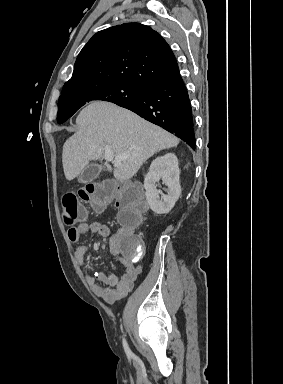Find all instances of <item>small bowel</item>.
I'll list each match as a JSON object with an SVG mask.
<instances>
[{"label": "small bowel", "mask_w": 283, "mask_h": 384, "mask_svg": "<svg viewBox=\"0 0 283 384\" xmlns=\"http://www.w3.org/2000/svg\"><path fill=\"white\" fill-rule=\"evenodd\" d=\"M94 233L101 237H110V251L125 266L122 275L106 274L99 272L96 274L86 273L85 279L90 286L92 292L101 297L106 303L114 304L124 298L134 287V282L141 274L142 268L134 265V262L124 257H119V250L115 242L114 236L108 225L94 221L91 223H80L76 227L69 229L68 238L73 243H78L81 238L88 234ZM87 248L84 245H78L75 250V256L79 264L86 266L85 256Z\"/></svg>", "instance_id": "c3829d8e"}]
</instances>
